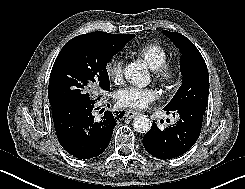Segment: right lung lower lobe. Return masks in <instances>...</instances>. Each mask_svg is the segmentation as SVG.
Returning a JSON list of instances; mask_svg holds the SVG:
<instances>
[{"mask_svg": "<svg viewBox=\"0 0 245 189\" xmlns=\"http://www.w3.org/2000/svg\"><path fill=\"white\" fill-rule=\"evenodd\" d=\"M95 100H85L52 107L57 138L62 147L78 159H90L103 153L109 145L116 122L124 113L106 111L94 119Z\"/></svg>", "mask_w": 245, "mask_h": 189, "instance_id": "98d812e1", "label": "right lung lower lobe"}]
</instances>
